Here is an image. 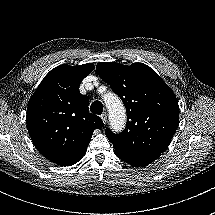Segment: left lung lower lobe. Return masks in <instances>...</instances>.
<instances>
[{
  "label": "left lung lower lobe",
  "mask_w": 215,
  "mask_h": 215,
  "mask_svg": "<svg viewBox=\"0 0 215 215\" xmlns=\"http://www.w3.org/2000/svg\"><path fill=\"white\" fill-rule=\"evenodd\" d=\"M116 156L123 160L124 162L134 165V166H144L147 165L154 160H156L159 156L154 157H136V156H127L115 150Z\"/></svg>",
  "instance_id": "left-lung-lower-lobe-1"
}]
</instances>
